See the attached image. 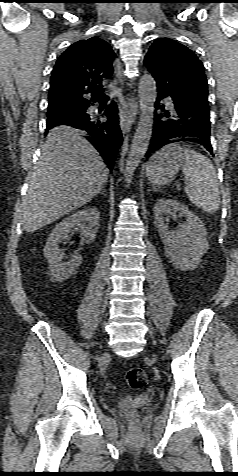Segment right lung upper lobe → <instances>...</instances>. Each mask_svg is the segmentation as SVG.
I'll list each match as a JSON object with an SVG mask.
<instances>
[{
	"label": "right lung upper lobe",
	"mask_w": 238,
	"mask_h": 476,
	"mask_svg": "<svg viewBox=\"0 0 238 476\" xmlns=\"http://www.w3.org/2000/svg\"><path fill=\"white\" fill-rule=\"evenodd\" d=\"M115 58L111 46L98 37L73 43L52 71L48 106L87 108L103 98L102 79L113 74Z\"/></svg>",
	"instance_id": "right-lung-upper-lobe-1"
}]
</instances>
